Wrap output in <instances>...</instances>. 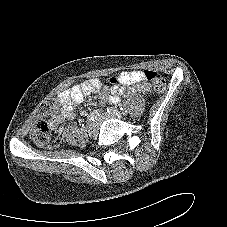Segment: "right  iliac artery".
Segmentation results:
<instances>
[{
	"instance_id": "right-iliac-artery-1",
	"label": "right iliac artery",
	"mask_w": 227,
	"mask_h": 227,
	"mask_svg": "<svg viewBox=\"0 0 227 227\" xmlns=\"http://www.w3.org/2000/svg\"><path fill=\"white\" fill-rule=\"evenodd\" d=\"M100 115H101V111L100 110L92 111L87 117V122L90 123V122H93V121L97 120Z\"/></svg>"
}]
</instances>
